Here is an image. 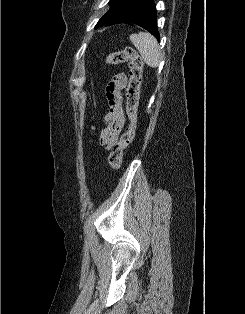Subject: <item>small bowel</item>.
<instances>
[{
	"instance_id": "obj_1",
	"label": "small bowel",
	"mask_w": 245,
	"mask_h": 314,
	"mask_svg": "<svg viewBox=\"0 0 245 314\" xmlns=\"http://www.w3.org/2000/svg\"><path fill=\"white\" fill-rule=\"evenodd\" d=\"M126 84L127 76L121 72L106 87L107 108L101 120L102 130L99 136L100 144L105 148L115 145L125 123L122 93Z\"/></svg>"
}]
</instances>
